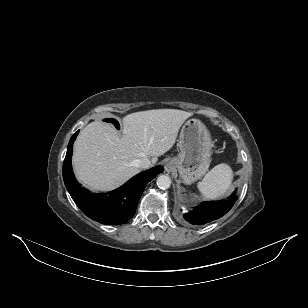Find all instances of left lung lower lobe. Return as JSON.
Returning <instances> with one entry per match:
<instances>
[{
  "label": "left lung lower lobe",
  "instance_id": "0a47b994",
  "mask_svg": "<svg viewBox=\"0 0 308 308\" xmlns=\"http://www.w3.org/2000/svg\"><path fill=\"white\" fill-rule=\"evenodd\" d=\"M236 201L235 192L227 201L204 202L185 213L184 219L194 225H203L225 215Z\"/></svg>",
  "mask_w": 308,
  "mask_h": 308
}]
</instances>
